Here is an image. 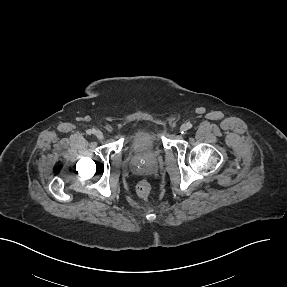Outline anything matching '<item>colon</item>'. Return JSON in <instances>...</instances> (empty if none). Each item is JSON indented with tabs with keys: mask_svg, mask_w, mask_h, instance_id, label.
<instances>
[{
	"mask_svg": "<svg viewBox=\"0 0 287 287\" xmlns=\"http://www.w3.org/2000/svg\"><path fill=\"white\" fill-rule=\"evenodd\" d=\"M136 192L139 197L143 199H148L151 195V185L148 181L142 180L138 183L136 187Z\"/></svg>",
	"mask_w": 287,
	"mask_h": 287,
	"instance_id": "5ec220e1",
	"label": "colon"
}]
</instances>
